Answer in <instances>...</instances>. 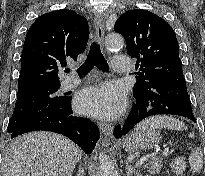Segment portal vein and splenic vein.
<instances>
[{
  "label": "portal vein and splenic vein",
  "mask_w": 205,
  "mask_h": 176,
  "mask_svg": "<svg viewBox=\"0 0 205 176\" xmlns=\"http://www.w3.org/2000/svg\"><path fill=\"white\" fill-rule=\"evenodd\" d=\"M167 154V151L164 152V155ZM156 155V153H152V154H149V155H146V156H143L141 157L137 163H136V166L137 167H140L145 161H147L149 158H151L152 156Z\"/></svg>",
  "instance_id": "1"
}]
</instances>
